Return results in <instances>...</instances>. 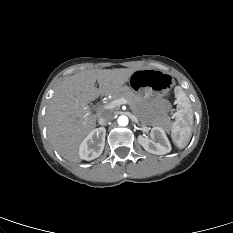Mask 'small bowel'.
Returning <instances> with one entry per match:
<instances>
[{
  "instance_id": "small-bowel-1",
  "label": "small bowel",
  "mask_w": 233,
  "mask_h": 233,
  "mask_svg": "<svg viewBox=\"0 0 233 233\" xmlns=\"http://www.w3.org/2000/svg\"><path fill=\"white\" fill-rule=\"evenodd\" d=\"M161 106H162V108H163L164 110H166V109L168 108V104H167V102H165V101H162V102H161Z\"/></svg>"
}]
</instances>
